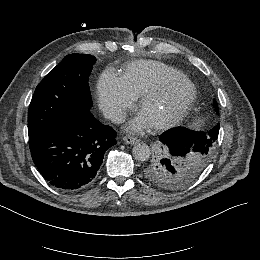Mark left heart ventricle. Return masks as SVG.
<instances>
[{
    "instance_id": "obj_1",
    "label": "left heart ventricle",
    "mask_w": 260,
    "mask_h": 260,
    "mask_svg": "<svg viewBox=\"0 0 260 260\" xmlns=\"http://www.w3.org/2000/svg\"><path fill=\"white\" fill-rule=\"evenodd\" d=\"M189 92L186 83H176L168 87L159 98L152 100L148 106L143 108V112L152 123L163 119L182 106Z\"/></svg>"
}]
</instances>
